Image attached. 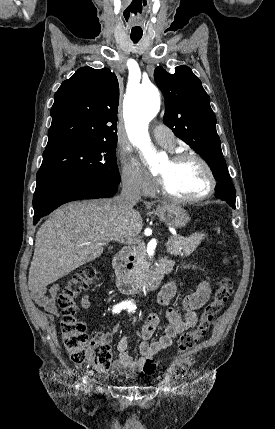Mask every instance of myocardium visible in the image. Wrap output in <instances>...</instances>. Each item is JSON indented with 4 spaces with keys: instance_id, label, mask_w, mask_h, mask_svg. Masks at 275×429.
<instances>
[{
    "instance_id": "obj_1",
    "label": "myocardium",
    "mask_w": 275,
    "mask_h": 429,
    "mask_svg": "<svg viewBox=\"0 0 275 429\" xmlns=\"http://www.w3.org/2000/svg\"><path fill=\"white\" fill-rule=\"evenodd\" d=\"M186 160H196L203 166L204 170L206 171V174L208 176V181H209V186H208L207 191L204 194L197 196V197H180V196L172 194L164 186L162 181H160V186H159L160 192L165 198L170 199V200L175 201V202H178V203L195 204V203L202 202V201L210 198L216 190L217 179H216L215 173H214L212 167L210 166V164L207 162V160L197 153L179 152V153H175L170 158V161L173 163H179V162H183Z\"/></svg>"
}]
</instances>
